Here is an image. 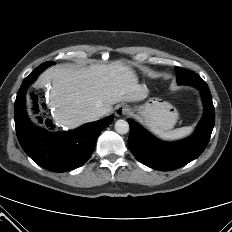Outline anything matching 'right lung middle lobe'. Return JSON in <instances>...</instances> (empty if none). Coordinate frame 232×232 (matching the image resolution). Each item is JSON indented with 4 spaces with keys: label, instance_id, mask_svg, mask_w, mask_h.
I'll use <instances>...</instances> for the list:
<instances>
[{
    "label": "right lung middle lobe",
    "instance_id": "obj_1",
    "mask_svg": "<svg viewBox=\"0 0 232 232\" xmlns=\"http://www.w3.org/2000/svg\"><path fill=\"white\" fill-rule=\"evenodd\" d=\"M53 64V62H46L40 65L34 72H32L30 75L37 74L39 75L44 69H46L49 65Z\"/></svg>",
    "mask_w": 232,
    "mask_h": 232
}]
</instances>
